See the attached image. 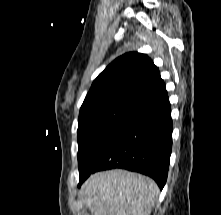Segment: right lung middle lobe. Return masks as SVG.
I'll use <instances>...</instances> for the list:
<instances>
[{
	"mask_svg": "<svg viewBox=\"0 0 221 215\" xmlns=\"http://www.w3.org/2000/svg\"><path fill=\"white\" fill-rule=\"evenodd\" d=\"M134 108L114 101L81 106L77 130L79 173L88 167L108 136Z\"/></svg>",
	"mask_w": 221,
	"mask_h": 215,
	"instance_id": "dd1d6c3e",
	"label": "right lung middle lobe"
}]
</instances>
